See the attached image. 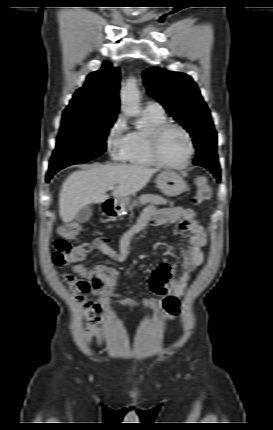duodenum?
Instances as JSON below:
<instances>
[{
	"label": "duodenum",
	"instance_id": "duodenum-1",
	"mask_svg": "<svg viewBox=\"0 0 273 430\" xmlns=\"http://www.w3.org/2000/svg\"><path fill=\"white\" fill-rule=\"evenodd\" d=\"M105 212H106V214H107V215H113V210H112V208H111V207L107 208V209L105 210Z\"/></svg>",
	"mask_w": 273,
	"mask_h": 430
}]
</instances>
